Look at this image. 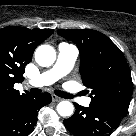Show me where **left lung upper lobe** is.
<instances>
[{"instance_id": "left-lung-upper-lobe-1", "label": "left lung upper lobe", "mask_w": 136, "mask_h": 136, "mask_svg": "<svg viewBox=\"0 0 136 136\" xmlns=\"http://www.w3.org/2000/svg\"><path fill=\"white\" fill-rule=\"evenodd\" d=\"M58 34L78 46L80 73L83 84L91 89L92 102L127 111L133 83L120 49L107 36L92 29L59 30Z\"/></svg>"}]
</instances>
